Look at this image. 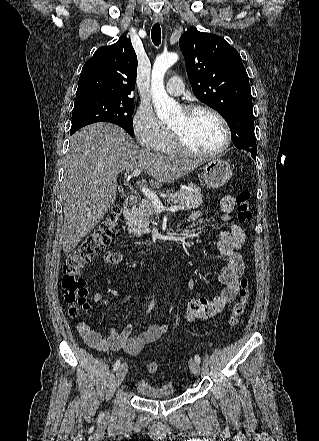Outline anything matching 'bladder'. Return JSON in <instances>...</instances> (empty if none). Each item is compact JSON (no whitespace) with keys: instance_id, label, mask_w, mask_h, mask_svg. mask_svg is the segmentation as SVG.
<instances>
[{"instance_id":"31cf9c89","label":"bladder","mask_w":319,"mask_h":441,"mask_svg":"<svg viewBox=\"0 0 319 441\" xmlns=\"http://www.w3.org/2000/svg\"><path fill=\"white\" fill-rule=\"evenodd\" d=\"M137 392L146 398H167L175 395V387L171 381L161 384H154L146 379H139L136 382Z\"/></svg>"}]
</instances>
